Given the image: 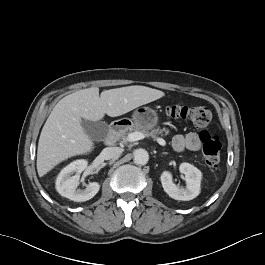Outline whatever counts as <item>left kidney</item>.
Returning a JSON list of instances; mask_svg holds the SVG:
<instances>
[{"label": "left kidney", "mask_w": 265, "mask_h": 265, "mask_svg": "<svg viewBox=\"0 0 265 265\" xmlns=\"http://www.w3.org/2000/svg\"><path fill=\"white\" fill-rule=\"evenodd\" d=\"M179 170L185 175L186 187H178L172 181V174L164 171L160 177L164 191L175 200L189 201L196 198L200 193L201 171L186 162L180 164Z\"/></svg>", "instance_id": "obj_1"}]
</instances>
